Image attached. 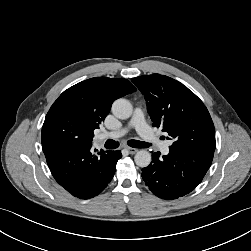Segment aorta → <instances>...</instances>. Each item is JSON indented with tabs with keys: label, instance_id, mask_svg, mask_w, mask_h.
<instances>
[{
	"label": "aorta",
	"instance_id": "1",
	"mask_svg": "<svg viewBox=\"0 0 251 251\" xmlns=\"http://www.w3.org/2000/svg\"><path fill=\"white\" fill-rule=\"evenodd\" d=\"M132 112L133 107L131 103L124 98L117 99L112 104V113L119 119H128ZM151 159V154L146 150L138 151L134 157L136 165L141 168L149 166Z\"/></svg>",
	"mask_w": 251,
	"mask_h": 251
}]
</instances>
